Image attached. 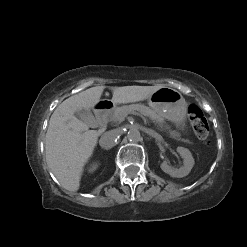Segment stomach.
Returning <instances> with one entry per match:
<instances>
[{"mask_svg": "<svg viewBox=\"0 0 247 247\" xmlns=\"http://www.w3.org/2000/svg\"><path fill=\"white\" fill-rule=\"evenodd\" d=\"M149 106L161 117L184 128L188 104L181 93L170 87H162L149 98Z\"/></svg>", "mask_w": 247, "mask_h": 247, "instance_id": "stomach-1", "label": "stomach"}]
</instances>
